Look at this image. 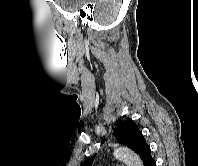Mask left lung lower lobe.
Listing matches in <instances>:
<instances>
[{
	"mask_svg": "<svg viewBox=\"0 0 198 166\" xmlns=\"http://www.w3.org/2000/svg\"><path fill=\"white\" fill-rule=\"evenodd\" d=\"M144 166H156V161L151 156Z\"/></svg>",
	"mask_w": 198,
	"mask_h": 166,
	"instance_id": "left-lung-lower-lobe-1",
	"label": "left lung lower lobe"
}]
</instances>
